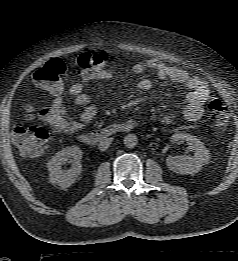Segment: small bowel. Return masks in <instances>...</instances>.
I'll return each mask as SVG.
<instances>
[{"label": "small bowel", "mask_w": 238, "mask_h": 261, "mask_svg": "<svg viewBox=\"0 0 238 261\" xmlns=\"http://www.w3.org/2000/svg\"><path fill=\"white\" fill-rule=\"evenodd\" d=\"M148 69L154 70L160 79H170L189 90L186 103L181 110V117L184 120L194 122L202 117L204 105L210 97L208 85L204 81L190 75L183 69L167 65L158 59L141 61L133 67L136 73H142ZM112 76V71L109 69H100L93 72L85 71L82 74L81 81L74 83L69 88V94L72 96L75 105L82 107L77 120L68 115L61 92L53 93L55 97L45 110V120L50 128L57 133H74L83 129L95 118L97 113L96 106L92 103L90 97L84 93L85 84L96 80H109ZM151 87L152 82L148 78H143L138 82V88L142 91H147ZM162 121L171 124L175 121V116L166 114L162 117Z\"/></svg>", "instance_id": "obj_1"}]
</instances>
